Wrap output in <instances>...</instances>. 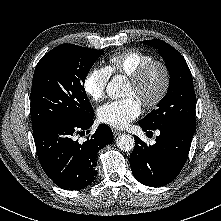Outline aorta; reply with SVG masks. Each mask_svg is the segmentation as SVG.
<instances>
[{"label": "aorta", "mask_w": 221, "mask_h": 221, "mask_svg": "<svg viewBox=\"0 0 221 221\" xmlns=\"http://www.w3.org/2000/svg\"><path fill=\"white\" fill-rule=\"evenodd\" d=\"M124 86V79L122 76L113 77L110 83L107 85V94L110 98L116 99L122 96V88ZM117 147L124 152H128L134 149V138L128 134H122L118 136L116 140Z\"/></svg>", "instance_id": "1"}]
</instances>
